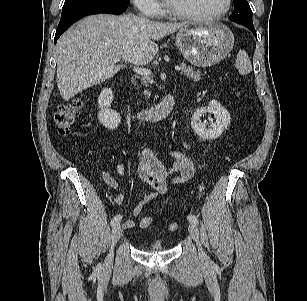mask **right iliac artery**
I'll list each match as a JSON object with an SVG mask.
<instances>
[{
  "instance_id": "right-iliac-artery-1",
  "label": "right iliac artery",
  "mask_w": 307,
  "mask_h": 301,
  "mask_svg": "<svg viewBox=\"0 0 307 301\" xmlns=\"http://www.w3.org/2000/svg\"><path fill=\"white\" fill-rule=\"evenodd\" d=\"M121 219H122V215H120V214L115 215V216L112 218V220H111V225H114V224H116V223H119V222L121 221Z\"/></svg>"
}]
</instances>
